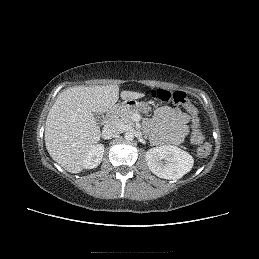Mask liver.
I'll return each mask as SVG.
<instances>
[{"mask_svg":"<svg viewBox=\"0 0 259 259\" xmlns=\"http://www.w3.org/2000/svg\"><path fill=\"white\" fill-rule=\"evenodd\" d=\"M143 95L133 91L120 94L123 100ZM118 99V85L75 86L62 91L45 125V145L52 159L70 173L81 172L87 153L101 137L94 113L109 111Z\"/></svg>","mask_w":259,"mask_h":259,"instance_id":"liver-1","label":"liver"}]
</instances>
